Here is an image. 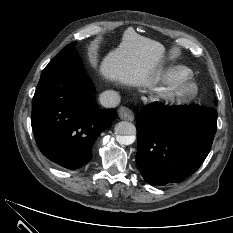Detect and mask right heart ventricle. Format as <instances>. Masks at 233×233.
I'll use <instances>...</instances> for the list:
<instances>
[{
    "instance_id": "e07e8e85",
    "label": "right heart ventricle",
    "mask_w": 233,
    "mask_h": 233,
    "mask_svg": "<svg viewBox=\"0 0 233 233\" xmlns=\"http://www.w3.org/2000/svg\"><path fill=\"white\" fill-rule=\"evenodd\" d=\"M192 72L189 68L177 65L168 68L163 74H162V81L164 84L167 85H173L183 79L190 78Z\"/></svg>"
}]
</instances>
